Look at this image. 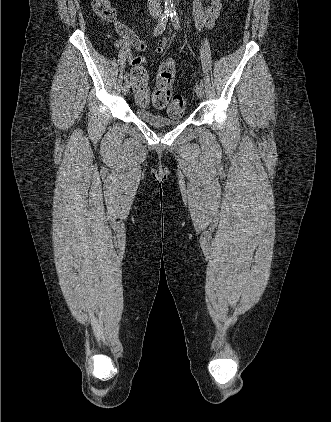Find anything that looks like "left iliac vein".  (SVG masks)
Instances as JSON below:
<instances>
[{
    "mask_svg": "<svg viewBox=\"0 0 331 422\" xmlns=\"http://www.w3.org/2000/svg\"><path fill=\"white\" fill-rule=\"evenodd\" d=\"M195 93H196V95H197L199 98H201V97L203 96V94H204V89H203V86H201V84H197V85L195 86Z\"/></svg>",
    "mask_w": 331,
    "mask_h": 422,
    "instance_id": "4c4485c4",
    "label": "left iliac vein"
}]
</instances>
